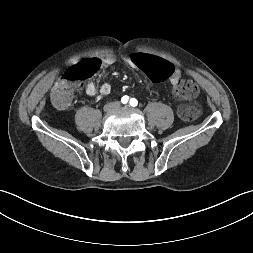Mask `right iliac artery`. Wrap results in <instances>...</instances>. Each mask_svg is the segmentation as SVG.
Here are the masks:
<instances>
[{
	"mask_svg": "<svg viewBox=\"0 0 253 253\" xmlns=\"http://www.w3.org/2000/svg\"><path fill=\"white\" fill-rule=\"evenodd\" d=\"M128 100H129V97H128V96H123L122 99H121V102H122L123 104H126V103L128 102Z\"/></svg>",
	"mask_w": 253,
	"mask_h": 253,
	"instance_id": "82829eb1",
	"label": "right iliac artery"
}]
</instances>
